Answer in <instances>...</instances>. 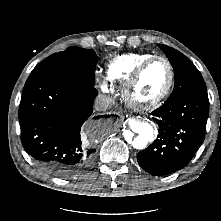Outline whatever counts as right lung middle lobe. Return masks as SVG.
I'll list each match as a JSON object with an SVG mask.
<instances>
[{
	"label": "right lung middle lobe",
	"instance_id": "obj_1",
	"mask_svg": "<svg viewBox=\"0 0 221 221\" xmlns=\"http://www.w3.org/2000/svg\"><path fill=\"white\" fill-rule=\"evenodd\" d=\"M97 61V55L92 49L68 47L66 51L47 57L33 71L49 68L68 78L94 86Z\"/></svg>",
	"mask_w": 221,
	"mask_h": 221
}]
</instances>
